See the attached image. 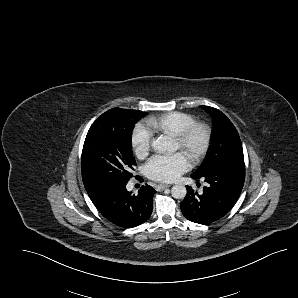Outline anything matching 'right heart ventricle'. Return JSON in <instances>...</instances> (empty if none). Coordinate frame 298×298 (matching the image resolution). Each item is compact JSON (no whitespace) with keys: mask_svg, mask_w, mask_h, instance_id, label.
Segmentation results:
<instances>
[{"mask_svg":"<svg viewBox=\"0 0 298 298\" xmlns=\"http://www.w3.org/2000/svg\"><path fill=\"white\" fill-rule=\"evenodd\" d=\"M194 122V116L182 112L167 113L158 118H150L146 120L148 127L162 134H169L178 128L184 127Z\"/></svg>","mask_w":298,"mask_h":298,"instance_id":"obj_1","label":"right heart ventricle"}]
</instances>
